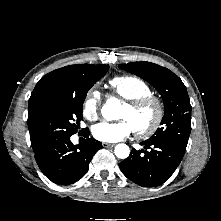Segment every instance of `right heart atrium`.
<instances>
[{
  "instance_id": "obj_1",
  "label": "right heart atrium",
  "mask_w": 221,
  "mask_h": 221,
  "mask_svg": "<svg viewBox=\"0 0 221 221\" xmlns=\"http://www.w3.org/2000/svg\"><path fill=\"white\" fill-rule=\"evenodd\" d=\"M101 93L93 88L89 90L82 103V114L89 121L97 119L101 107Z\"/></svg>"
}]
</instances>
